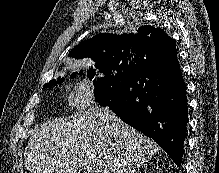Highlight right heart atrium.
I'll return each mask as SVG.
<instances>
[{
	"instance_id": "right-heart-atrium-1",
	"label": "right heart atrium",
	"mask_w": 219,
	"mask_h": 173,
	"mask_svg": "<svg viewBox=\"0 0 219 173\" xmlns=\"http://www.w3.org/2000/svg\"><path fill=\"white\" fill-rule=\"evenodd\" d=\"M68 100L77 111H86L95 104L96 92L90 84L78 82L70 88Z\"/></svg>"
}]
</instances>
